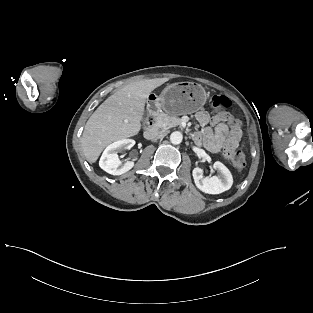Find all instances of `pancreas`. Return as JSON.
Instances as JSON below:
<instances>
[{
	"mask_svg": "<svg viewBox=\"0 0 313 313\" xmlns=\"http://www.w3.org/2000/svg\"><path fill=\"white\" fill-rule=\"evenodd\" d=\"M156 125L159 128L168 130L172 127L181 126V119L175 115H168L163 111H159L155 115Z\"/></svg>",
	"mask_w": 313,
	"mask_h": 313,
	"instance_id": "pancreas-1",
	"label": "pancreas"
}]
</instances>
